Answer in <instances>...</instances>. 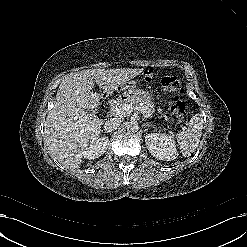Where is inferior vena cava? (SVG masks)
I'll return each instance as SVG.
<instances>
[{
    "label": "inferior vena cava",
    "instance_id": "obj_1",
    "mask_svg": "<svg viewBox=\"0 0 247 247\" xmlns=\"http://www.w3.org/2000/svg\"><path fill=\"white\" fill-rule=\"evenodd\" d=\"M121 120L118 118H111L105 122L104 130L106 132H112L120 126Z\"/></svg>",
    "mask_w": 247,
    "mask_h": 247
}]
</instances>
